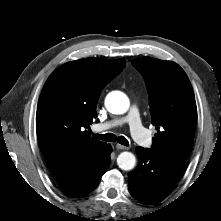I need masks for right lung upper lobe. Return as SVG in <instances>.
<instances>
[{
  "label": "right lung upper lobe",
  "instance_id": "1",
  "mask_svg": "<svg viewBox=\"0 0 221 221\" xmlns=\"http://www.w3.org/2000/svg\"><path fill=\"white\" fill-rule=\"evenodd\" d=\"M125 65L123 58H86L68 62L48 77L38 101L36 131L56 182L96 167L107 155L110 145L83 129L97 117L102 89Z\"/></svg>",
  "mask_w": 221,
  "mask_h": 221
}]
</instances>
